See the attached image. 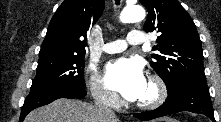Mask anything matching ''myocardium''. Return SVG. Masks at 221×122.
Returning a JSON list of instances; mask_svg holds the SVG:
<instances>
[{"instance_id":"1","label":"myocardium","mask_w":221,"mask_h":122,"mask_svg":"<svg viewBox=\"0 0 221 122\" xmlns=\"http://www.w3.org/2000/svg\"><path fill=\"white\" fill-rule=\"evenodd\" d=\"M148 83L152 87V96L146 100H141L136 103V106L140 109L150 110L157 108L167 98L168 90L164 80L158 75H151Z\"/></svg>"}]
</instances>
